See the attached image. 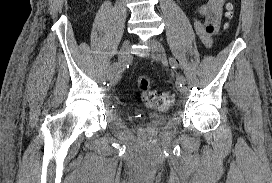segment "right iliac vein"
<instances>
[{
  "label": "right iliac vein",
  "instance_id": "obj_1",
  "mask_svg": "<svg viewBox=\"0 0 272 183\" xmlns=\"http://www.w3.org/2000/svg\"><path fill=\"white\" fill-rule=\"evenodd\" d=\"M129 46H130V41L125 40L119 51L118 62L115 69H109L108 71L107 79L110 81L111 84H115L117 82V80L119 79L121 75L122 70L124 69V67L129 61ZM114 70L117 72L115 75L112 73Z\"/></svg>",
  "mask_w": 272,
  "mask_h": 183
}]
</instances>
